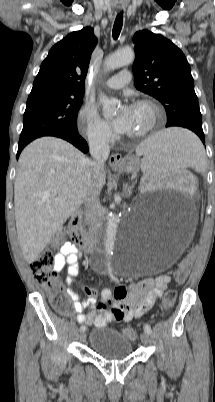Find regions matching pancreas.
<instances>
[{
    "mask_svg": "<svg viewBox=\"0 0 215 402\" xmlns=\"http://www.w3.org/2000/svg\"><path fill=\"white\" fill-rule=\"evenodd\" d=\"M80 230H81V233H85L82 227L80 228Z\"/></svg>",
    "mask_w": 215,
    "mask_h": 402,
    "instance_id": "pancreas-1",
    "label": "pancreas"
}]
</instances>
